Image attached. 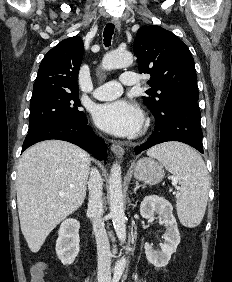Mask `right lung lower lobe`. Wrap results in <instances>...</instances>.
Masks as SVG:
<instances>
[{
    "label": "right lung lower lobe",
    "mask_w": 232,
    "mask_h": 282,
    "mask_svg": "<svg viewBox=\"0 0 232 282\" xmlns=\"http://www.w3.org/2000/svg\"><path fill=\"white\" fill-rule=\"evenodd\" d=\"M49 139H59L76 144L98 160L105 161L107 158V145L87 125V119L81 122H55L42 129L31 131L24 140L22 151L37 142Z\"/></svg>",
    "instance_id": "98d812e1"
}]
</instances>
